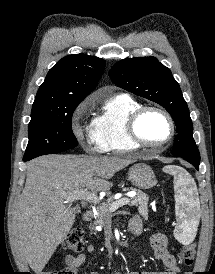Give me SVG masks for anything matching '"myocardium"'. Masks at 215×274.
<instances>
[{
  "instance_id": "myocardium-1",
  "label": "myocardium",
  "mask_w": 215,
  "mask_h": 274,
  "mask_svg": "<svg viewBox=\"0 0 215 274\" xmlns=\"http://www.w3.org/2000/svg\"><path fill=\"white\" fill-rule=\"evenodd\" d=\"M150 111L158 112L161 115H163L166 120L169 123L170 126V134L169 136L162 142L160 143H150L144 140L138 130V124L140 119ZM126 131L129 139L136 145L141 146V147H147V148H162L169 144L174 136H175V123L172 118V116L163 108L158 107V106H152V105H146V106H140L136 110H134L127 118L126 121Z\"/></svg>"
}]
</instances>
